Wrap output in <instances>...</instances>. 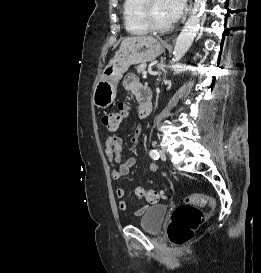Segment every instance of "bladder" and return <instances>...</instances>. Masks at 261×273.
I'll return each instance as SVG.
<instances>
[{
  "mask_svg": "<svg viewBox=\"0 0 261 273\" xmlns=\"http://www.w3.org/2000/svg\"><path fill=\"white\" fill-rule=\"evenodd\" d=\"M167 213L168 208L165 205L147 207L140 219V227L149 233H159L163 227Z\"/></svg>",
  "mask_w": 261,
  "mask_h": 273,
  "instance_id": "bladder-1",
  "label": "bladder"
}]
</instances>
